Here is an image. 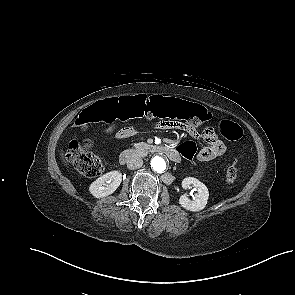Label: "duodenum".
Returning a JSON list of instances; mask_svg holds the SVG:
<instances>
[{
    "label": "duodenum",
    "instance_id": "duodenum-1",
    "mask_svg": "<svg viewBox=\"0 0 295 295\" xmlns=\"http://www.w3.org/2000/svg\"><path fill=\"white\" fill-rule=\"evenodd\" d=\"M152 149L156 152L164 154L173 162H179L181 160L179 152L173 147L167 145H158L154 146ZM138 155L139 152L137 150L128 149L120 154L119 161L121 164H126L136 158Z\"/></svg>",
    "mask_w": 295,
    "mask_h": 295
}]
</instances>
